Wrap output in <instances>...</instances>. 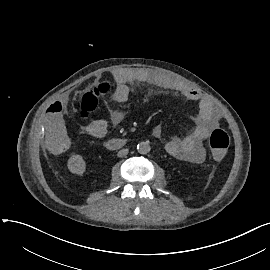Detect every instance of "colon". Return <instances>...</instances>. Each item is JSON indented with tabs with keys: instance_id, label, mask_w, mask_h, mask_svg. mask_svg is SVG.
Returning a JSON list of instances; mask_svg holds the SVG:
<instances>
[{
	"instance_id": "obj_1",
	"label": "colon",
	"mask_w": 270,
	"mask_h": 270,
	"mask_svg": "<svg viewBox=\"0 0 270 270\" xmlns=\"http://www.w3.org/2000/svg\"><path fill=\"white\" fill-rule=\"evenodd\" d=\"M109 83H101L92 89L78 91L74 94L72 102L78 113L83 118H90L99 106V97L108 94ZM231 137L224 128H216L209 136V145L214 151L213 158L217 162H222L226 158L225 151L230 145Z\"/></svg>"
}]
</instances>
